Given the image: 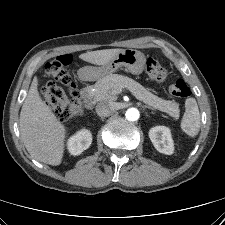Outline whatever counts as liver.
Returning <instances> with one entry per match:
<instances>
[{"label": "liver", "instance_id": "liver-1", "mask_svg": "<svg viewBox=\"0 0 225 225\" xmlns=\"http://www.w3.org/2000/svg\"><path fill=\"white\" fill-rule=\"evenodd\" d=\"M124 49H105L83 53L80 59L105 65ZM20 134L32 158L45 164H61L66 138L65 126L38 92V79L33 78L27 97L20 112Z\"/></svg>", "mask_w": 225, "mask_h": 225}]
</instances>
